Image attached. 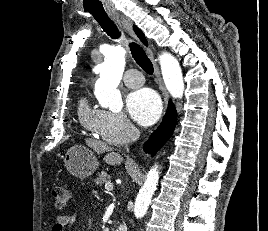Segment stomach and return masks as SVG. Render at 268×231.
Instances as JSON below:
<instances>
[{
  "label": "stomach",
  "mask_w": 268,
  "mask_h": 231,
  "mask_svg": "<svg viewBox=\"0 0 268 231\" xmlns=\"http://www.w3.org/2000/svg\"><path fill=\"white\" fill-rule=\"evenodd\" d=\"M63 160L68 172L80 179L91 176L99 165L95 154L83 145L72 146L66 152Z\"/></svg>",
  "instance_id": "1"
}]
</instances>
